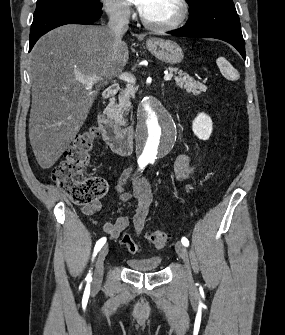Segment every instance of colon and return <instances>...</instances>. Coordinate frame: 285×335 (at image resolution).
<instances>
[{
  "mask_svg": "<svg viewBox=\"0 0 285 335\" xmlns=\"http://www.w3.org/2000/svg\"><path fill=\"white\" fill-rule=\"evenodd\" d=\"M98 135L99 130L96 127H90L79 134L66 150L63 161L53 170L56 185L72 202L79 205H89L99 200L107 191V183L103 178L85 175ZM148 240L155 248L162 249L168 242V235L156 230L148 234ZM119 242L132 254L139 251L138 245L127 232L121 235Z\"/></svg>",
  "mask_w": 285,
  "mask_h": 335,
  "instance_id": "obj_1",
  "label": "colon"
}]
</instances>
